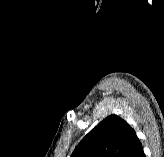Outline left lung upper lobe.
I'll return each mask as SVG.
<instances>
[{
    "label": "left lung upper lobe",
    "instance_id": "1",
    "mask_svg": "<svg viewBox=\"0 0 164 157\" xmlns=\"http://www.w3.org/2000/svg\"><path fill=\"white\" fill-rule=\"evenodd\" d=\"M135 137L134 129L112 114L80 141L70 157H124Z\"/></svg>",
    "mask_w": 164,
    "mask_h": 157
}]
</instances>
